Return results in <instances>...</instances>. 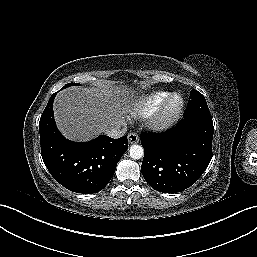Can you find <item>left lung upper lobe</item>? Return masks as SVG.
Instances as JSON below:
<instances>
[{"label": "left lung upper lobe", "instance_id": "left-lung-upper-lobe-1", "mask_svg": "<svg viewBox=\"0 0 257 257\" xmlns=\"http://www.w3.org/2000/svg\"><path fill=\"white\" fill-rule=\"evenodd\" d=\"M199 116L211 118V114L204 96L197 90H191L188 105L184 113V118Z\"/></svg>", "mask_w": 257, "mask_h": 257}]
</instances>
